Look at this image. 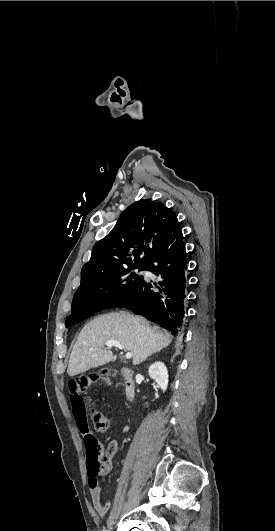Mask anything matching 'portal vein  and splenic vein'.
<instances>
[{"mask_svg":"<svg viewBox=\"0 0 275 531\" xmlns=\"http://www.w3.org/2000/svg\"><path fill=\"white\" fill-rule=\"evenodd\" d=\"M107 349H112V347H117V349H123L122 345L118 341H106ZM90 351H96V349H90ZM126 359H132V353H126Z\"/></svg>","mask_w":275,"mask_h":531,"instance_id":"portal-vein-and-splenic-vein-1","label":"portal vein and splenic vein"}]
</instances>
